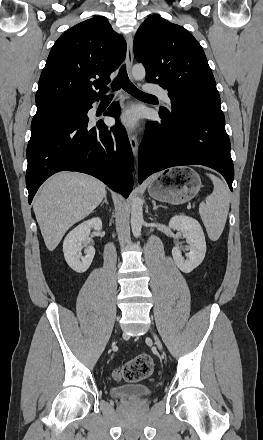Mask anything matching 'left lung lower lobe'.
<instances>
[{"label":"left lung lower lobe","instance_id":"obj_1","mask_svg":"<svg viewBox=\"0 0 263 440\" xmlns=\"http://www.w3.org/2000/svg\"><path fill=\"white\" fill-rule=\"evenodd\" d=\"M148 123L139 150L138 180L173 166L204 165L226 179L232 191L234 166L221 107H180Z\"/></svg>","mask_w":263,"mask_h":440}]
</instances>
